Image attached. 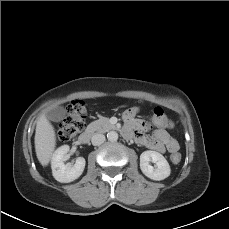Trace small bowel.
I'll return each instance as SVG.
<instances>
[{
  "label": "small bowel",
  "instance_id": "1",
  "mask_svg": "<svg viewBox=\"0 0 229 229\" xmlns=\"http://www.w3.org/2000/svg\"><path fill=\"white\" fill-rule=\"evenodd\" d=\"M138 113V107H131L123 114L125 123L124 130L128 133V135L125 136L126 138H133L138 144L159 153L165 152L170 143L178 145L176 140L173 139L167 131V129L171 128V125L168 124V119L162 108L157 107L154 109L152 123L157 129L148 137L138 132V130L145 127L144 121L137 118Z\"/></svg>",
  "mask_w": 229,
  "mask_h": 229
}]
</instances>
